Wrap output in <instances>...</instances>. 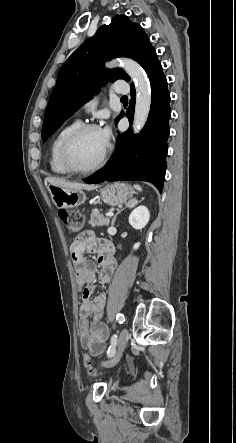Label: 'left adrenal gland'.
<instances>
[{
  "label": "left adrenal gland",
  "mask_w": 236,
  "mask_h": 443,
  "mask_svg": "<svg viewBox=\"0 0 236 443\" xmlns=\"http://www.w3.org/2000/svg\"><path fill=\"white\" fill-rule=\"evenodd\" d=\"M122 210H123V209H122ZM122 210H119V211L116 213V215L113 217L112 222H111V226H114L115 221H116V218H117L118 214H120V212H121Z\"/></svg>",
  "instance_id": "1"
}]
</instances>
